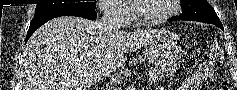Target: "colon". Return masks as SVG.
<instances>
[{
	"label": "colon",
	"mask_w": 237,
	"mask_h": 90,
	"mask_svg": "<svg viewBox=\"0 0 237 90\" xmlns=\"http://www.w3.org/2000/svg\"><path fill=\"white\" fill-rule=\"evenodd\" d=\"M213 58L217 64L218 68L223 65V53L219 48H216L213 52ZM220 90H230L226 81H222L220 84Z\"/></svg>",
	"instance_id": "5ec220e1"
}]
</instances>
